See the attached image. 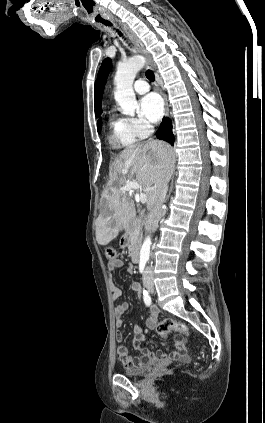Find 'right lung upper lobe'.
Wrapping results in <instances>:
<instances>
[{
	"instance_id": "obj_1",
	"label": "right lung upper lobe",
	"mask_w": 265,
	"mask_h": 423,
	"mask_svg": "<svg viewBox=\"0 0 265 423\" xmlns=\"http://www.w3.org/2000/svg\"><path fill=\"white\" fill-rule=\"evenodd\" d=\"M95 93H94V97H95V115L98 117L101 115L102 110H101V105H100V101L98 98V93H97V88H96V84H95Z\"/></svg>"
}]
</instances>
